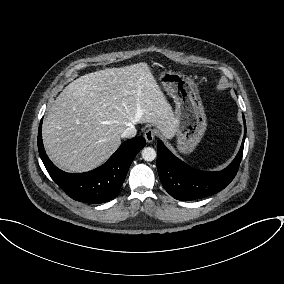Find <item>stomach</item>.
<instances>
[{
    "label": "stomach",
    "mask_w": 284,
    "mask_h": 284,
    "mask_svg": "<svg viewBox=\"0 0 284 284\" xmlns=\"http://www.w3.org/2000/svg\"><path fill=\"white\" fill-rule=\"evenodd\" d=\"M159 80L175 103L177 148L180 153H191L201 141L207 118L198 88L190 77L172 71L160 73Z\"/></svg>",
    "instance_id": "obj_1"
}]
</instances>
